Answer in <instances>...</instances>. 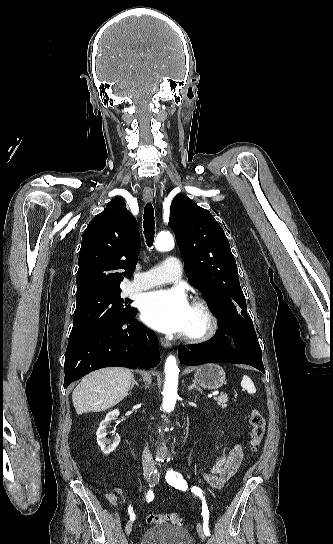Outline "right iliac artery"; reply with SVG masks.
<instances>
[{
  "instance_id": "1",
  "label": "right iliac artery",
  "mask_w": 333,
  "mask_h": 544,
  "mask_svg": "<svg viewBox=\"0 0 333 544\" xmlns=\"http://www.w3.org/2000/svg\"><path fill=\"white\" fill-rule=\"evenodd\" d=\"M146 499H147V501H152L154 499V493H153L152 489H150L148 491ZM129 518L132 521L135 520V514L132 512V507L131 506H129Z\"/></svg>"
}]
</instances>
